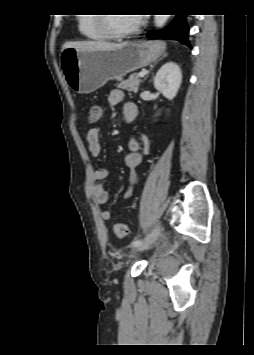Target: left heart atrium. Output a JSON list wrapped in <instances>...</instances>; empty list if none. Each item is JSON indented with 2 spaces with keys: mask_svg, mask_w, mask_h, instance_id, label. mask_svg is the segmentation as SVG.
<instances>
[{
  "mask_svg": "<svg viewBox=\"0 0 254 355\" xmlns=\"http://www.w3.org/2000/svg\"><path fill=\"white\" fill-rule=\"evenodd\" d=\"M141 16V15H140ZM139 15L136 17V22L137 23H140L141 22V19H142V17H140Z\"/></svg>",
  "mask_w": 254,
  "mask_h": 355,
  "instance_id": "obj_1",
  "label": "left heart atrium"
}]
</instances>
